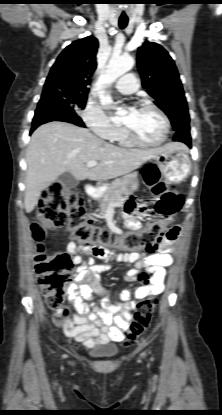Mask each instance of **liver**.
Here are the masks:
<instances>
[{
    "instance_id": "obj_1",
    "label": "liver",
    "mask_w": 222,
    "mask_h": 415,
    "mask_svg": "<svg viewBox=\"0 0 222 415\" xmlns=\"http://www.w3.org/2000/svg\"><path fill=\"white\" fill-rule=\"evenodd\" d=\"M167 149H186V146L170 143L152 149H125L69 123L43 124L34 131L27 148L25 210L32 212L41 192L65 172L77 180H108L139 168ZM89 161H99V164L87 167Z\"/></svg>"
}]
</instances>
